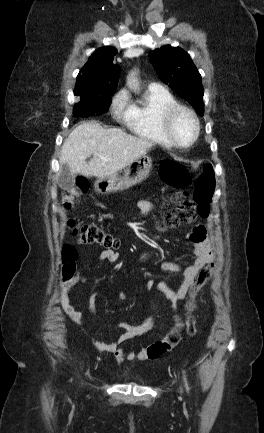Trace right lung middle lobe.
Masks as SVG:
<instances>
[{
  "instance_id": "dd1d6c3e",
  "label": "right lung middle lobe",
  "mask_w": 264,
  "mask_h": 433,
  "mask_svg": "<svg viewBox=\"0 0 264 433\" xmlns=\"http://www.w3.org/2000/svg\"><path fill=\"white\" fill-rule=\"evenodd\" d=\"M113 93L104 94L98 97L79 98L74 105V114L76 116L87 117L93 114H103L109 109L110 99Z\"/></svg>"
}]
</instances>
